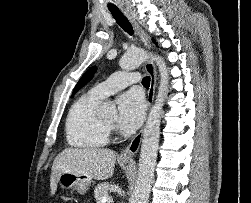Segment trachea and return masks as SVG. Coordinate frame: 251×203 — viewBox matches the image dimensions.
<instances>
[{
    "mask_svg": "<svg viewBox=\"0 0 251 203\" xmlns=\"http://www.w3.org/2000/svg\"><path fill=\"white\" fill-rule=\"evenodd\" d=\"M111 14L113 15L116 22L119 24V26L128 34L133 35V27L130 24V22L127 20V18L119 11V10H110ZM142 84L144 86L150 85V77L146 76L142 80Z\"/></svg>",
    "mask_w": 251,
    "mask_h": 203,
    "instance_id": "obj_1",
    "label": "trachea"
}]
</instances>
